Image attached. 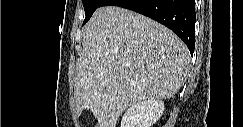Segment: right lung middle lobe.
I'll return each instance as SVG.
<instances>
[{
    "mask_svg": "<svg viewBox=\"0 0 243 127\" xmlns=\"http://www.w3.org/2000/svg\"><path fill=\"white\" fill-rule=\"evenodd\" d=\"M105 0H83V6L85 10V19L83 25L90 19L94 11L101 7Z\"/></svg>",
    "mask_w": 243,
    "mask_h": 127,
    "instance_id": "right-lung-middle-lobe-1",
    "label": "right lung middle lobe"
}]
</instances>
